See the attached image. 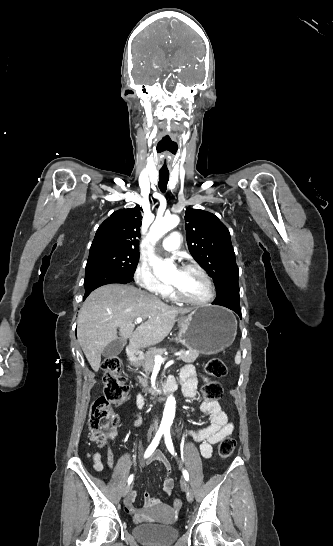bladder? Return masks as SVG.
<instances>
[{"instance_id":"1","label":"bladder","mask_w":333,"mask_h":546,"mask_svg":"<svg viewBox=\"0 0 333 546\" xmlns=\"http://www.w3.org/2000/svg\"><path fill=\"white\" fill-rule=\"evenodd\" d=\"M133 536L148 546H168L178 537V530L173 526L142 523L133 527Z\"/></svg>"}]
</instances>
